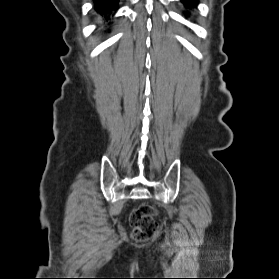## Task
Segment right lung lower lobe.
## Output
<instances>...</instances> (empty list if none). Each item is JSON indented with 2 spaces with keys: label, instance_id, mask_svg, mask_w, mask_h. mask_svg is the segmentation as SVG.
Masks as SVG:
<instances>
[{
  "label": "right lung lower lobe",
  "instance_id": "98d812e1",
  "mask_svg": "<svg viewBox=\"0 0 279 279\" xmlns=\"http://www.w3.org/2000/svg\"><path fill=\"white\" fill-rule=\"evenodd\" d=\"M94 10L103 17L104 21L110 20V16L118 6L119 0H93Z\"/></svg>",
  "mask_w": 279,
  "mask_h": 279
}]
</instances>
